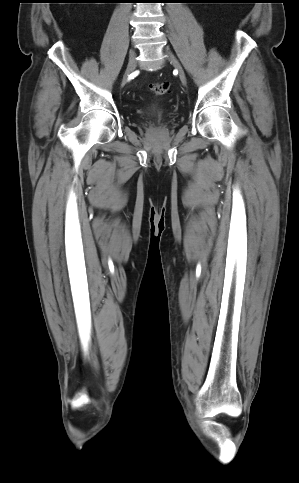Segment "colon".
Returning a JSON list of instances; mask_svg holds the SVG:
<instances>
[{
  "label": "colon",
  "instance_id": "colon-1",
  "mask_svg": "<svg viewBox=\"0 0 299 483\" xmlns=\"http://www.w3.org/2000/svg\"><path fill=\"white\" fill-rule=\"evenodd\" d=\"M170 85L168 82H156L150 85V89L156 96H162L169 91Z\"/></svg>",
  "mask_w": 299,
  "mask_h": 483
}]
</instances>
